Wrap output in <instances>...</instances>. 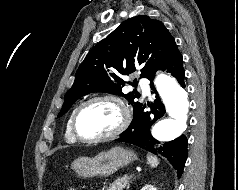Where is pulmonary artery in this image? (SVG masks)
Returning <instances> with one entry per match:
<instances>
[{
    "label": "pulmonary artery",
    "instance_id": "e3ab8cb5",
    "mask_svg": "<svg viewBox=\"0 0 238 190\" xmlns=\"http://www.w3.org/2000/svg\"><path fill=\"white\" fill-rule=\"evenodd\" d=\"M139 83H140L141 89L143 91V94L144 95H149L150 90H149V86H148L147 82L142 79V80H140Z\"/></svg>",
    "mask_w": 238,
    "mask_h": 190
}]
</instances>
